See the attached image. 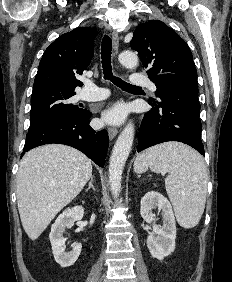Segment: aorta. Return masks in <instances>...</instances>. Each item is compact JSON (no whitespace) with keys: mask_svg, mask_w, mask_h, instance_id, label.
<instances>
[{"mask_svg":"<svg viewBox=\"0 0 232 282\" xmlns=\"http://www.w3.org/2000/svg\"><path fill=\"white\" fill-rule=\"evenodd\" d=\"M118 59L119 62L127 68H134L138 65V57L132 51L121 52ZM133 140L134 125L130 122L119 135L110 157L109 183L114 198L119 197L120 194L122 173L132 149Z\"/></svg>","mask_w":232,"mask_h":282,"instance_id":"obj_1","label":"aorta"}]
</instances>
